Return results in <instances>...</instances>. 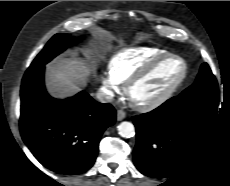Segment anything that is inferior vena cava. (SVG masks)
I'll return each mask as SVG.
<instances>
[{
    "instance_id": "1",
    "label": "inferior vena cava",
    "mask_w": 230,
    "mask_h": 186,
    "mask_svg": "<svg viewBox=\"0 0 230 186\" xmlns=\"http://www.w3.org/2000/svg\"><path fill=\"white\" fill-rule=\"evenodd\" d=\"M97 99L102 102H110L114 98V93L107 89V88H101L96 94Z\"/></svg>"
}]
</instances>
